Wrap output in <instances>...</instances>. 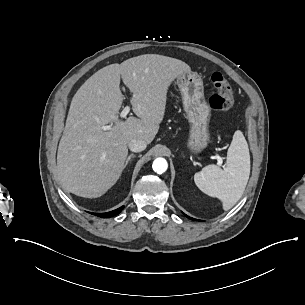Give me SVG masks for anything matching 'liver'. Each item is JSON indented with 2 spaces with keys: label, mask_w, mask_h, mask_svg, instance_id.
Listing matches in <instances>:
<instances>
[{
  "label": "liver",
  "mask_w": 305,
  "mask_h": 305,
  "mask_svg": "<svg viewBox=\"0 0 305 305\" xmlns=\"http://www.w3.org/2000/svg\"><path fill=\"white\" fill-rule=\"evenodd\" d=\"M191 72L185 62L158 54L132 57L105 66L74 95L57 153L62 187L86 198L100 197L121 176L130 139L151 143L163 120L171 82ZM120 78L132 93L133 112L140 118L118 119L124 96ZM113 122L110 130L102 126Z\"/></svg>",
  "instance_id": "obj_1"
}]
</instances>
